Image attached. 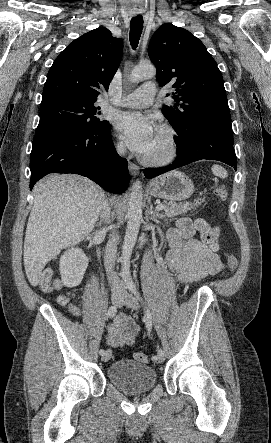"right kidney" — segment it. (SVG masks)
Returning <instances> with one entry per match:
<instances>
[{
    "label": "right kidney",
    "instance_id": "ca27d5eb",
    "mask_svg": "<svg viewBox=\"0 0 271 443\" xmlns=\"http://www.w3.org/2000/svg\"><path fill=\"white\" fill-rule=\"evenodd\" d=\"M59 265L64 285L66 287H75L83 279L88 265V257L80 247H70L61 255Z\"/></svg>",
    "mask_w": 271,
    "mask_h": 443
}]
</instances>
